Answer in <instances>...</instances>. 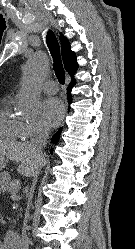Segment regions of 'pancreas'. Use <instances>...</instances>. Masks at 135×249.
Wrapping results in <instances>:
<instances>
[{
    "mask_svg": "<svg viewBox=\"0 0 135 249\" xmlns=\"http://www.w3.org/2000/svg\"><path fill=\"white\" fill-rule=\"evenodd\" d=\"M20 189V181L19 180H13L10 182L9 186L7 187L8 192L12 195V198L17 197V193Z\"/></svg>",
    "mask_w": 135,
    "mask_h": 249,
    "instance_id": "1",
    "label": "pancreas"
}]
</instances>
